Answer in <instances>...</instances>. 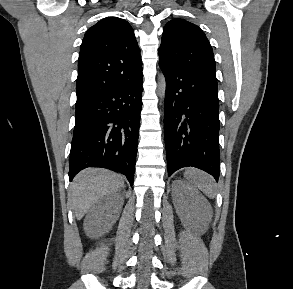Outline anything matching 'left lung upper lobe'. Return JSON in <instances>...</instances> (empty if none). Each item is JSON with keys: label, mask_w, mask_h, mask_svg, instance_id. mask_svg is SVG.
Masks as SVG:
<instances>
[{"label": "left lung upper lobe", "mask_w": 293, "mask_h": 289, "mask_svg": "<svg viewBox=\"0 0 293 289\" xmlns=\"http://www.w3.org/2000/svg\"><path fill=\"white\" fill-rule=\"evenodd\" d=\"M160 62L169 68L216 78L212 47L204 32L184 19L169 21L159 48Z\"/></svg>", "instance_id": "obj_1"}]
</instances>
